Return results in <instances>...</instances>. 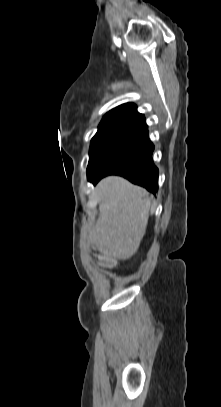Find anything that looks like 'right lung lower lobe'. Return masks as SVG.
I'll return each mask as SVG.
<instances>
[{
  "mask_svg": "<svg viewBox=\"0 0 221 407\" xmlns=\"http://www.w3.org/2000/svg\"><path fill=\"white\" fill-rule=\"evenodd\" d=\"M153 150L154 145L148 137V126L145 125L126 140L103 168L88 180L96 184L107 175H120L155 194L158 190L159 171L153 163Z\"/></svg>",
  "mask_w": 221,
  "mask_h": 407,
  "instance_id": "98d812e1",
  "label": "right lung lower lobe"
}]
</instances>
